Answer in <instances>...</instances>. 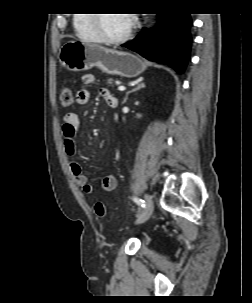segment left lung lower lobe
Here are the masks:
<instances>
[{
	"instance_id": "1",
	"label": "left lung lower lobe",
	"mask_w": 252,
	"mask_h": 303,
	"mask_svg": "<svg viewBox=\"0 0 252 303\" xmlns=\"http://www.w3.org/2000/svg\"><path fill=\"white\" fill-rule=\"evenodd\" d=\"M162 25L158 29H143L134 40L122 44L148 60L166 64L183 73L190 55L189 14H159Z\"/></svg>"
}]
</instances>
